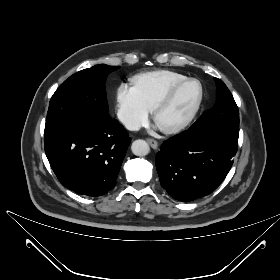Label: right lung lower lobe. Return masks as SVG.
<instances>
[{
    "mask_svg": "<svg viewBox=\"0 0 280 280\" xmlns=\"http://www.w3.org/2000/svg\"><path fill=\"white\" fill-rule=\"evenodd\" d=\"M45 153L58 180L86 196H102L115 185L131 139L116 120L67 122L44 133Z\"/></svg>",
    "mask_w": 280,
    "mask_h": 280,
    "instance_id": "right-lung-lower-lobe-1",
    "label": "right lung lower lobe"
}]
</instances>
